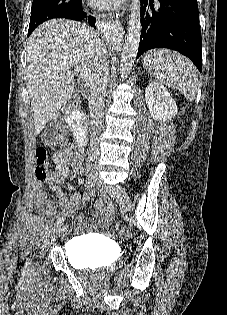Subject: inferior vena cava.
Returning <instances> with one entry per match:
<instances>
[{
	"label": "inferior vena cava",
	"instance_id": "inferior-vena-cava-1",
	"mask_svg": "<svg viewBox=\"0 0 227 315\" xmlns=\"http://www.w3.org/2000/svg\"><path fill=\"white\" fill-rule=\"evenodd\" d=\"M109 61L107 54H98L97 61L91 73L89 81V111L93 133L96 134L102 126L104 117L105 94L108 85ZM93 145L90 149L91 153L95 152Z\"/></svg>",
	"mask_w": 227,
	"mask_h": 315
}]
</instances>
